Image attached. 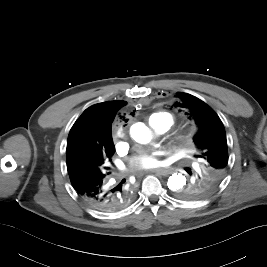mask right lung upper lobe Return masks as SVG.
Listing matches in <instances>:
<instances>
[{"label": "right lung upper lobe", "mask_w": 267, "mask_h": 267, "mask_svg": "<svg viewBox=\"0 0 267 267\" xmlns=\"http://www.w3.org/2000/svg\"><path fill=\"white\" fill-rule=\"evenodd\" d=\"M123 101H109L87 108L70 130L67 153L79 152L83 147L107 143L111 140L110 127Z\"/></svg>", "instance_id": "cb5924a9"}]
</instances>
